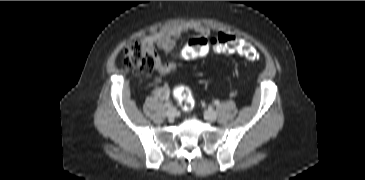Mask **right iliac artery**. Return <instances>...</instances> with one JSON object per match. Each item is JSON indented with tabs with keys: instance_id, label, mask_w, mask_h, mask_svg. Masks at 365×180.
I'll return each mask as SVG.
<instances>
[{
	"instance_id": "1",
	"label": "right iliac artery",
	"mask_w": 365,
	"mask_h": 180,
	"mask_svg": "<svg viewBox=\"0 0 365 180\" xmlns=\"http://www.w3.org/2000/svg\"><path fill=\"white\" fill-rule=\"evenodd\" d=\"M166 107H170L171 106V102L170 101H167V102H165V104H164Z\"/></svg>"
}]
</instances>
